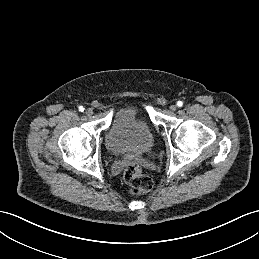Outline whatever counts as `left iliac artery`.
Returning a JSON list of instances; mask_svg holds the SVG:
<instances>
[{"instance_id": "1", "label": "left iliac artery", "mask_w": 259, "mask_h": 259, "mask_svg": "<svg viewBox=\"0 0 259 259\" xmlns=\"http://www.w3.org/2000/svg\"><path fill=\"white\" fill-rule=\"evenodd\" d=\"M182 105H183V102H182V101H178V102H177V106H178V107H181Z\"/></svg>"}]
</instances>
